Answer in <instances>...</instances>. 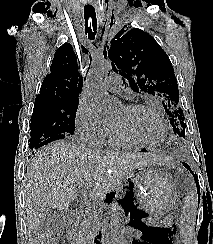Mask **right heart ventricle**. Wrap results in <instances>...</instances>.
<instances>
[{"mask_svg":"<svg viewBox=\"0 0 213 244\" xmlns=\"http://www.w3.org/2000/svg\"><path fill=\"white\" fill-rule=\"evenodd\" d=\"M104 145L109 146L111 148H120L125 146V144L121 143L114 135L112 127L110 128L105 140L103 141Z\"/></svg>","mask_w":213,"mask_h":244,"instance_id":"right-heart-ventricle-1","label":"right heart ventricle"}]
</instances>
